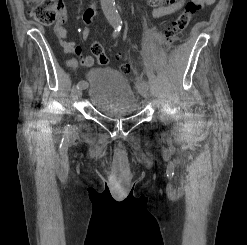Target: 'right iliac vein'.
<instances>
[{
  "mask_svg": "<svg viewBox=\"0 0 247 245\" xmlns=\"http://www.w3.org/2000/svg\"><path fill=\"white\" fill-rule=\"evenodd\" d=\"M86 87H78L77 90H76V93H75V96L77 99L81 98L82 96V91L85 89Z\"/></svg>",
  "mask_w": 247,
  "mask_h": 245,
  "instance_id": "obj_1",
  "label": "right iliac vein"
}]
</instances>
